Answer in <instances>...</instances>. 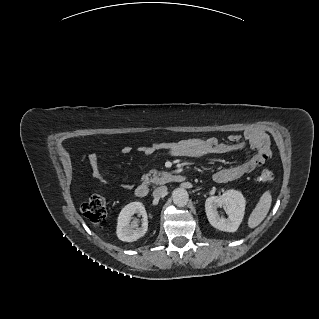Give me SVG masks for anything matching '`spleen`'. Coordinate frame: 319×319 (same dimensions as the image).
<instances>
[{
    "instance_id": "3e777b00",
    "label": "spleen",
    "mask_w": 319,
    "mask_h": 319,
    "mask_svg": "<svg viewBox=\"0 0 319 319\" xmlns=\"http://www.w3.org/2000/svg\"><path fill=\"white\" fill-rule=\"evenodd\" d=\"M272 203V195L270 191H265L260 197L256 207L248 218V227H257L267 216Z\"/></svg>"
}]
</instances>
